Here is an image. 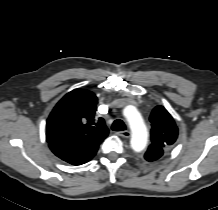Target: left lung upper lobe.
Masks as SVG:
<instances>
[{"label":"left lung upper lobe","mask_w":218,"mask_h":210,"mask_svg":"<svg viewBox=\"0 0 218 210\" xmlns=\"http://www.w3.org/2000/svg\"><path fill=\"white\" fill-rule=\"evenodd\" d=\"M150 121L152 143L145 153V159L155 161L163 155L164 149L176 141L178 129L173 117L163 106H156L153 109Z\"/></svg>","instance_id":"left-lung-upper-lobe-1"}]
</instances>
